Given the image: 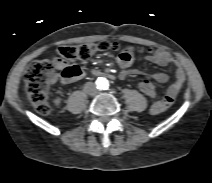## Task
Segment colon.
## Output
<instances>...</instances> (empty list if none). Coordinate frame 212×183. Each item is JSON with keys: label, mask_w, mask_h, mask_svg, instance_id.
<instances>
[{"label": "colon", "mask_w": 212, "mask_h": 183, "mask_svg": "<svg viewBox=\"0 0 212 183\" xmlns=\"http://www.w3.org/2000/svg\"><path fill=\"white\" fill-rule=\"evenodd\" d=\"M128 48L134 52V48ZM118 49L119 45L116 42L109 41L59 47L51 59L36 61L25 72L24 88L28 101L39 114L48 115L51 110L48 100L50 85L55 79V71L60 65L64 66L62 76L73 79L78 76L79 68L69 62L84 60L97 53ZM140 50L143 51V49ZM147 51L151 52L152 50L147 49ZM138 88L148 97H156L154 86L149 80L139 81Z\"/></svg>", "instance_id": "1"}]
</instances>
